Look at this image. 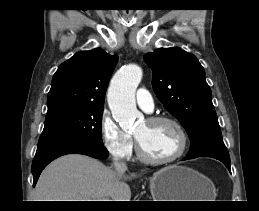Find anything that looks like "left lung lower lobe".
<instances>
[{"mask_svg":"<svg viewBox=\"0 0 259 211\" xmlns=\"http://www.w3.org/2000/svg\"><path fill=\"white\" fill-rule=\"evenodd\" d=\"M197 157H212L215 158L217 160H220L221 162H223L225 164V166L228 168L229 171L230 170V158H229V154L225 155V154H219V153H201V154H197L194 156H187L186 159H193V158H197Z\"/></svg>","mask_w":259,"mask_h":211,"instance_id":"0a47b994","label":"left lung lower lobe"}]
</instances>
